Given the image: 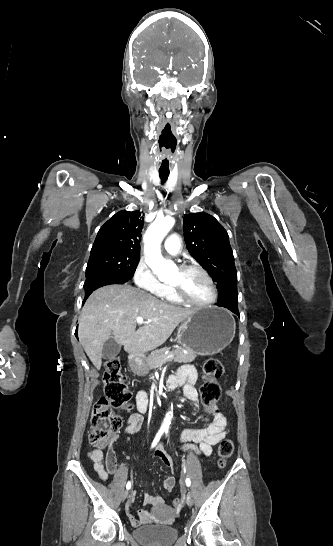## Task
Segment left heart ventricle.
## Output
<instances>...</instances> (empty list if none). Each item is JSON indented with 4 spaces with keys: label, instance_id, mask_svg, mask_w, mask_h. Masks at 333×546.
Instances as JSON below:
<instances>
[{
    "label": "left heart ventricle",
    "instance_id": "left-heart-ventricle-1",
    "mask_svg": "<svg viewBox=\"0 0 333 546\" xmlns=\"http://www.w3.org/2000/svg\"><path fill=\"white\" fill-rule=\"evenodd\" d=\"M171 284L178 285L191 300L204 302L211 298L212 290L205 277L198 271L177 270Z\"/></svg>",
    "mask_w": 333,
    "mask_h": 546
}]
</instances>
